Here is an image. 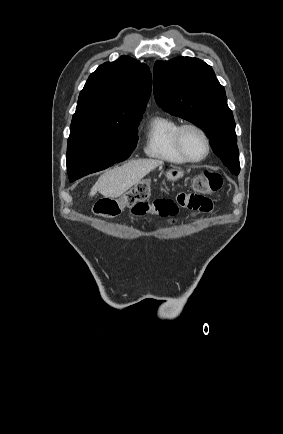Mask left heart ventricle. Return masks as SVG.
I'll use <instances>...</instances> for the list:
<instances>
[{"instance_id":"b2bd125f","label":"left heart ventricle","mask_w":283,"mask_h":434,"mask_svg":"<svg viewBox=\"0 0 283 434\" xmlns=\"http://www.w3.org/2000/svg\"><path fill=\"white\" fill-rule=\"evenodd\" d=\"M182 143L187 154L193 158L201 157L206 150L205 142L199 132L186 129L182 134Z\"/></svg>"}]
</instances>
